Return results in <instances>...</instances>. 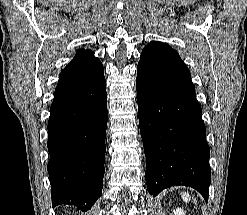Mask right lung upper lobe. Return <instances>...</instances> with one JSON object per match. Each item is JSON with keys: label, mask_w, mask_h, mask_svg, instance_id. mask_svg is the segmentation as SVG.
Returning a JSON list of instances; mask_svg holds the SVG:
<instances>
[{"label": "right lung upper lobe", "mask_w": 247, "mask_h": 215, "mask_svg": "<svg viewBox=\"0 0 247 215\" xmlns=\"http://www.w3.org/2000/svg\"><path fill=\"white\" fill-rule=\"evenodd\" d=\"M84 49H80V50H78V51H83Z\"/></svg>", "instance_id": "right-lung-upper-lobe-1"}]
</instances>
